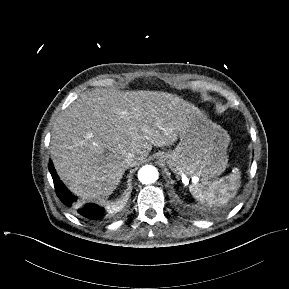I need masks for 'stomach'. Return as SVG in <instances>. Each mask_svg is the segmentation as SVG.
<instances>
[{
    "instance_id": "0dacf381",
    "label": "stomach",
    "mask_w": 289,
    "mask_h": 289,
    "mask_svg": "<svg viewBox=\"0 0 289 289\" xmlns=\"http://www.w3.org/2000/svg\"><path fill=\"white\" fill-rule=\"evenodd\" d=\"M174 150L159 153L161 161L177 177L197 176L204 180L221 175L228 165L227 147L230 136L196 109L187 118Z\"/></svg>"
}]
</instances>
